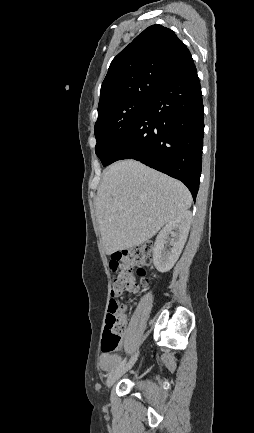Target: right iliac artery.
<instances>
[{"label": "right iliac artery", "mask_w": 254, "mask_h": 433, "mask_svg": "<svg viewBox=\"0 0 254 433\" xmlns=\"http://www.w3.org/2000/svg\"><path fill=\"white\" fill-rule=\"evenodd\" d=\"M125 363H126V358H125L122 362H120V364H119V366L116 368V370L122 368V367L125 365Z\"/></svg>", "instance_id": "obj_1"}]
</instances>
